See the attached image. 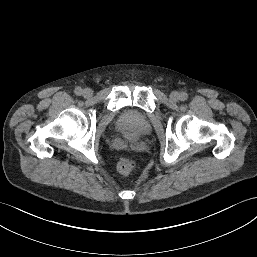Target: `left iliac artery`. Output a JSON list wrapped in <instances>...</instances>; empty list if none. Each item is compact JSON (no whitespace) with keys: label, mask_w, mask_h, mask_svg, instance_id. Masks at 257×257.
I'll return each instance as SVG.
<instances>
[{"label":"left iliac artery","mask_w":257,"mask_h":257,"mask_svg":"<svg viewBox=\"0 0 257 257\" xmlns=\"http://www.w3.org/2000/svg\"><path fill=\"white\" fill-rule=\"evenodd\" d=\"M187 98H188V95H187V93H185V92H182V93L180 94V99H181L182 101H185V100H187Z\"/></svg>","instance_id":"1"}]
</instances>
